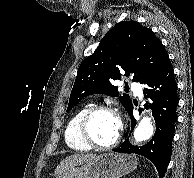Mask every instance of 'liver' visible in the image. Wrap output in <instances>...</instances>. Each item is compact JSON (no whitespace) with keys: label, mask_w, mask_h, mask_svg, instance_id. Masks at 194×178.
<instances>
[{"label":"liver","mask_w":194,"mask_h":178,"mask_svg":"<svg viewBox=\"0 0 194 178\" xmlns=\"http://www.w3.org/2000/svg\"><path fill=\"white\" fill-rule=\"evenodd\" d=\"M96 157L95 154H73L63 159L55 170V174L59 175L71 168L82 165Z\"/></svg>","instance_id":"liver-1"}]
</instances>
